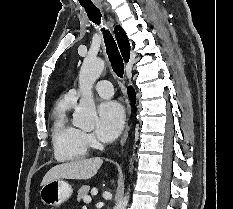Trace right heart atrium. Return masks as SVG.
Here are the masks:
<instances>
[{
	"mask_svg": "<svg viewBox=\"0 0 233 209\" xmlns=\"http://www.w3.org/2000/svg\"><path fill=\"white\" fill-rule=\"evenodd\" d=\"M83 141L87 144L89 147H98L99 143L97 142L95 136L92 133L88 132H81Z\"/></svg>",
	"mask_w": 233,
	"mask_h": 209,
	"instance_id": "1",
	"label": "right heart atrium"
}]
</instances>
